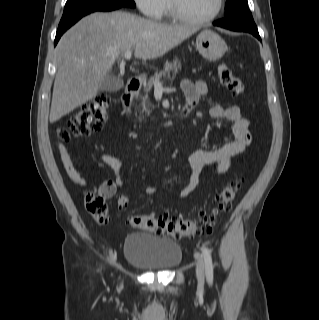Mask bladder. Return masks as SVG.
<instances>
[{
    "mask_svg": "<svg viewBox=\"0 0 319 320\" xmlns=\"http://www.w3.org/2000/svg\"><path fill=\"white\" fill-rule=\"evenodd\" d=\"M124 256L128 263L148 271H166L182 260L179 243L170 237L130 233L124 242Z\"/></svg>",
    "mask_w": 319,
    "mask_h": 320,
    "instance_id": "bladder-1",
    "label": "bladder"
}]
</instances>
